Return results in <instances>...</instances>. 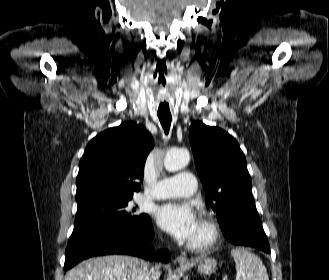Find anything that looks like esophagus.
Wrapping results in <instances>:
<instances>
[{"mask_svg":"<svg viewBox=\"0 0 329 280\" xmlns=\"http://www.w3.org/2000/svg\"><path fill=\"white\" fill-rule=\"evenodd\" d=\"M177 262L180 264V265H187L190 263L189 259L186 257V255H180L177 257Z\"/></svg>","mask_w":329,"mask_h":280,"instance_id":"obj_1","label":"esophagus"}]
</instances>
